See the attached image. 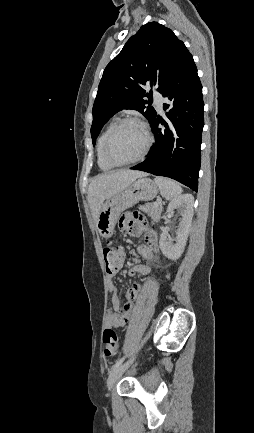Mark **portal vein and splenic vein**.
I'll return each instance as SVG.
<instances>
[{
    "label": "portal vein and splenic vein",
    "instance_id": "obj_1",
    "mask_svg": "<svg viewBox=\"0 0 254 433\" xmlns=\"http://www.w3.org/2000/svg\"><path fill=\"white\" fill-rule=\"evenodd\" d=\"M159 204H160V202H159V201L155 202V205H156V206H158Z\"/></svg>",
    "mask_w": 254,
    "mask_h": 433
}]
</instances>
